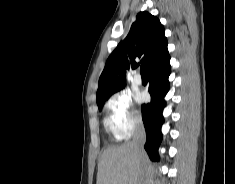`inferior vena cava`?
Wrapping results in <instances>:
<instances>
[{
    "label": "inferior vena cava",
    "mask_w": 235,
    "mask_h": 184,
    "mask_svg": "<svg viewBox=\"0 0 235 184\" xmlns=\"http://www.w3.org/2000/svg\"><path fill=\"white\" fill-rule=\"evenodd\" d=\"M145 142H146L145 128L143 126V122L139 120V122H136L135 124V132L133 140L131 142L135 154H141V152H143V146Z\"/></svg>",
    "instance_id": "obj_1"
}]
</instances>
